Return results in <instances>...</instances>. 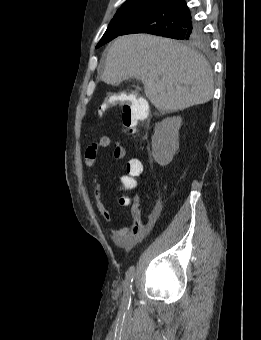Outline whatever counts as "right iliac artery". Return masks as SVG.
<instances>
[{
    "label": "right iliac artery",
    "instance_id": "82829eb1",
    "mask_svg": "<svg viewBox=\"0 0 261 340\" xmlns=\"http://www.w3.org/2000/svg\"><path fill=\"white\" fill-rule=\"evenodd\" d=\"M133 274H134V266H131L126 272L125 283H124L125 294H124V299H123V305L127 309L129 308L130 303H131Z\"/></svg>",
    "mask_w": 261,
    "mask_h": 340
}]
</instances>
